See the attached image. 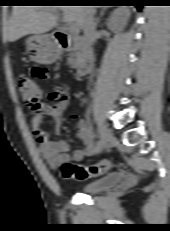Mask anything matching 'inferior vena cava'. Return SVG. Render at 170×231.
Returning <instances> with one entry per match:
<instances>
[{
  "instance_id": "obj_1",
  "label": "inferior vena cava",
  "mask_w": 170,
  "mask_h": 231,
  "mask_svg": "<svg viewBox=\"0 0 170 231\" xmlns=\"http://www.w3.org/2000/svg\"><path fill=\"white\" fill-rule=\"evenodd\" d=\"M94 15H95V9L93 6L84 7V16H83L84 37L85 40L90 44H93L95 41L96 22L94 19Z\"/></svg>"
}]
</instances>
